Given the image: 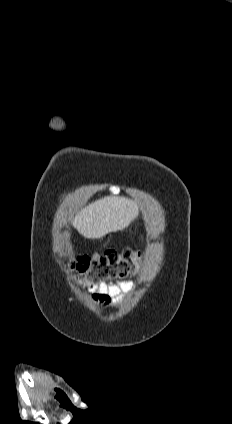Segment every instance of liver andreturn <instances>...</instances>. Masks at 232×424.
Listing matches in <instances>:
<instances>
[{"instance_id":"6515ba94","label":"liver","mask_w":232,"mask_h":424,"mask_svg":"<svg viewBox=\"0 0 232 424\" xmlns=\"http://www.w3.org/2000/svg\"><path fill=\"white\" fill-rule=\"evenodd\" d=\"M139 213L137 203L125 197L108 196L90 203L72 225L88 239H97L127 227Z\"/></svg>"}]
</instances>
